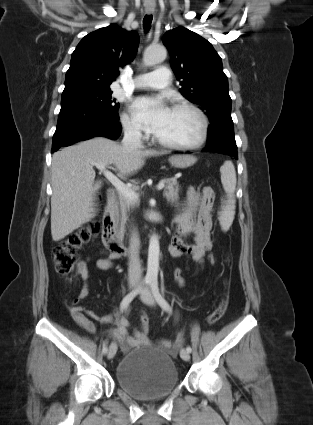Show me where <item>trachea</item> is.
<instances>
[{
    "label": "trachea",
    "mask_w": 313,
    "mask_h": 425,
    "mask_svg": "<svg viewBox=\"0 0 313 425\" xmlns=\"http://www.w3.org/2000/svg\"><path fill=\"white\" fill-rule=\"evenodd\" d=\"M151 23H152V15H145L143 19V26L145 31H148L150 29Z\"/></svg>",
    "instance_id": "3493384b"
}]
</instances>
